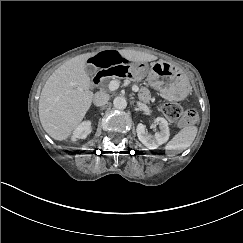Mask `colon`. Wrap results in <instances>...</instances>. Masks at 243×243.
<instances>
[{
    "mask_svg": "<svg viewBox=\"0 0 243 243\" xmlns=\"http://www.w3.org/2000/svg\"><path fill=\"white\" fill-rule=\"evenodd\" d=\"M164 116L169 120H179L181 127H186L196 123L198 119L197 111L194 108L184 110L177 102H167L162 107Z\"/></svg>",
    "mask_w": 243,
    "mask_h": 243,
    "instance_id": "obj_1",
    "label": "colon"
}]
</instances>
